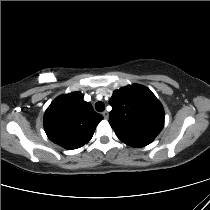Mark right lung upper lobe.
<instances>
[{
	"label": "right lung upper lobe",
	"mask_w": 210,
	"mask_h": 210,
	"mask_svg": "<svg viewBox=\"0 0 210 210\" xmlns=\"http://www.w3.org/2000/svg\"><path fill=\"white\" fill-rule=\"evenodd\" d=\"M103 119L83 94L73 92L56 98L44 115V129L48 138L59 146L72 150L90 141L98 123Z\"/></svg>",
	"instance_id": "obj_1"
}]
</instances>
